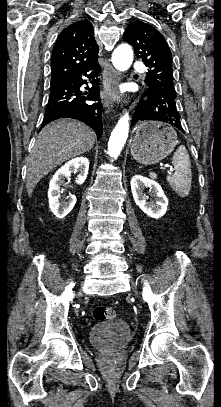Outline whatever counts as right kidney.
Wrapping results in <instances>:
<instances>
[{"instance_id":"ca27d5eb","label":"right kidney","mask_w":221,"mask_h":407,"mask_svg":"<svg viewBox=\"0 0 221 407\" xmlns=\"http://www.w3.org/2000/svg\"><path fill=\"white\" fill-rule=\"evenodd\" d=\"M88 170L89 160L86 157H77L65 163L53 175L49 183L48 199L50 210L57 218L63 219L76 204L75 195H70L68 201L60 200V188L65 178L69 177L71 172H78L76 183L81 185L86 180Z\"/></svg>"}]
</instances>
